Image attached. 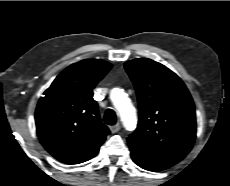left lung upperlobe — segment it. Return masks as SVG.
I'll use <instances>...</instances> for the list:
<instances>
[{
    "label": "left lung upper lobe",
    "mask_w": 230,
    "mask_h": 186,
    "mask_svg": "<svg viewBox=\"0 0 230 186\" xmlns=\"http://www.w3.org/2000/svg\"><path fill=\"white\" fill-rule=\"evenodd\" d=\"M125 69L139 102L138 127L128 143L182 160L196 137L195 107L185 84L166 66L148 58L130 60Z\"/></svg>",
    "instance_id": "1"
}]
</instances>
